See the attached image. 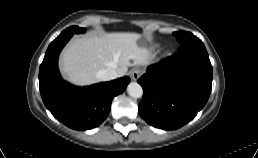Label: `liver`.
<instances>
[{
	"label": "liver",
	"instance_id": "1",
	"mask_svg": "<svg viewBox=\"0 0 258 158\" xmlns=\"http://www.w3.org/2000/svg\"><path fill=\"white\" fill-rule=\"evenodd\" d=\"M149 51L141 35L131 32L105 33L74 38L61 54V71L75 85H90L100 81L97 73L114 68L118 77L128 67L146 65Z\"/></svg>",
	"mask_w": 258,
	"mask_h": 158
}]
</instances>
